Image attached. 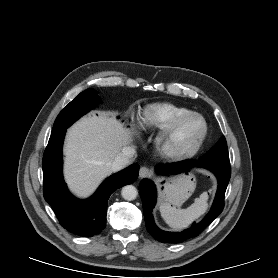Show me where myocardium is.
I'll return each mask as SVG.
<instances>
[{"label": "myocardium", "mask_w": 278, "mask_h": 278, "mask_svg": "<svg viewBox=\"0 0 278 278\" xmlns=\"http://www.w3.org/2000/svg\"><path fill=\"white\" fill-rule=\"evenodd\" d=\"M196 118L202 123V131L196 141L187 147H179L175 143V137L188 120ZM208 134V124L205 118L196 112H189L182 115L165 129L156 140V148L158 152L165 158L170 160H183L194 156L202 147Z\"/></svg>", "instance_id": "f54148a6"}]
</instances>
